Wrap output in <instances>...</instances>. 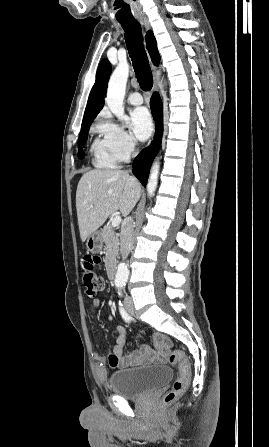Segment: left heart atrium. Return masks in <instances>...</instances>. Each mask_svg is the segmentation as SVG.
<instances>
[{
    "label": "left heart atrium",
    "instance_id": "obj_1",
    "mask_svg": "<svg viewBox=\"0 0 269 447\" xmlns=\"http://www.w3.org/2000/svg\"><path fill=\"white\" fill-rule=\"evenodd\" d=\"M131 130L135 137L141 141L147 140L153 131V120L145 107L135 108L131 112Z\"/></svg>",
    "mask_w": 269,
    "mask_h": 447
}]
</instances>
